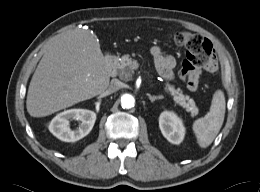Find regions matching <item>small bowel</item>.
<instances>
[{"instance_id":"1","label":"small bowel","mask_w":260,"mask_h":192,"mask_svg":"<svg viewBox=\"0 0 260 192\" xmlns=\"http://www.w3.org/2000/svg\"><path fill=\"white\" fill-rule=\"evenodd\" d=\"M150 53L154 59L155 66L159 74L166 80L173 78V69L176 65V60L171 55H165L160 46L154 45L150 49ZM217 65L215 67H207L206 71L214 72L216 71ZM194 91V90H192Z\"/></svg>"}]
</instances>
